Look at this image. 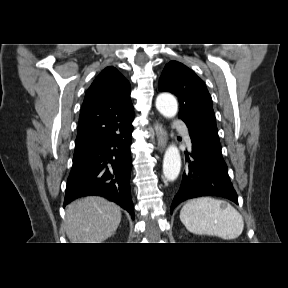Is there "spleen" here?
Masks as SVG:
<instances>
[{
    "instance_id": "spleen-1",
    "label": "spleen",
    "mask_w": 288,
    "mask_h": 288,
    "mask_svg": "<svg viewBox=\"0 0 288 288\" xmlns=\"http://www.w3.org/2000/svg\"><path fill=\"white\" fill-rule=\"evenodd\" d=\"M180 220L193 234L225 240L237 238L244 228L242 215L232 205L210 197L188 201L180 211Z\"/></svg>"
}]
</instances>
